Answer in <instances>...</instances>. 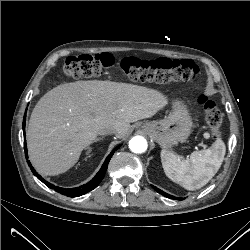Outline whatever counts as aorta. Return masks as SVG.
Listing matches in <instances>:
<instances>
[{"label":"aorta","mask_w":250,"mask_h":250,"mask_svg":"<svg viewBox=\"0 0 250 250\" xmlns=\"http://www.w3.org/2000/svg\"><path fill=\"white\" fill-rule=\"evenodd\" d=\"M147 147V141L142 136H135L129 141V148L134 153H143L147 150Z\"/></svg>","instance_id":"aorta-1"}]
</instances>
